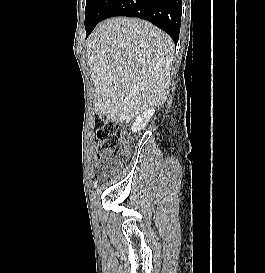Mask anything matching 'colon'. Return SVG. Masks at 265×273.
I'll return each instance as SVG.
<instances>
[{
  "mask_svg": "<svg viewBox=\"0 0 265 273\" xmlns=\"http://www.w3.org/2000/svg\"><path fill=\"white\" fill-rule=\"evenodd\" d=\"M99 154L101 156L117 157L122 154L123 129L121 125L108 122L97 131Z\"/></svg>",
  "mask_w": 265,
  "mask_h": 273,
  "instance_id": "1",
  "label": "colon"
}]
</instances>
